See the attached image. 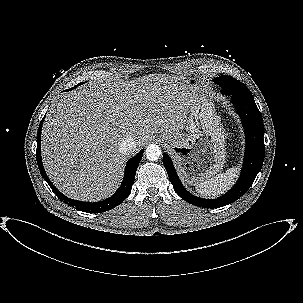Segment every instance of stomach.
Segmentation results:
<instances>
[{"label":"stomach","instance_id":"1","mask_svg":"<svg viewBox=\"0 0 303 303\" xmlns=\"http://www.w3.org/2000/svg\"><path fill=\"white\" fill-rule=\"evenodd\" d=\"M193 89H199L196 78L187 79ZM188 133L162 132L178 172L189 184H196L219 172L226 160L225 133L213 104L205 96L191 106L186 121Z\"/></svg>","mask_w":303,"mask_h":303}]
</instances>
